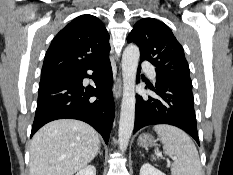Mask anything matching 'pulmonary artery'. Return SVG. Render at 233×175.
I'll use <instances>...</instances> for the list:
<instances>
[{"instance_id": "obj_1", "label": "pulmonary artery", "mask_w": 233, "mask_h": 175, "mask_svg": "<svg viewBox=\"0 0 233 175\" xmlns=\"http://www.w3.org/2000/svg\"><path fill=\"white\" fill-rule=\"evenodd\" d=\"M143 68L146 70L148 76L155 81L156 80V72L155 70L151 67V65L148 62H143L142 63Z\"/></svg>"}]
</instances>
